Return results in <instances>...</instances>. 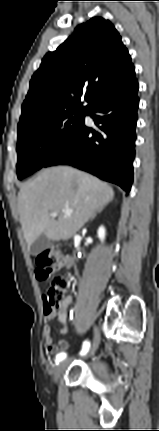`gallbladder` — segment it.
Wrapping results in <instances>:
<instances>
[{"mask_svg": "<svg viewBox=\"0 0 159 431\" xmlns=\"http://www.w3.org/2000/svg\"><path fill=\"white\" fill-rule=\"evenodd\" d=\"M51 244V241L45 234L39 236L31 245L30 250L33 255L39 254L47 249Z\"/></svg>", "mask_w": 159, "mask_h": 431, "instance_id": "obj_1", "label": "gallbladder"}]
</instances>
